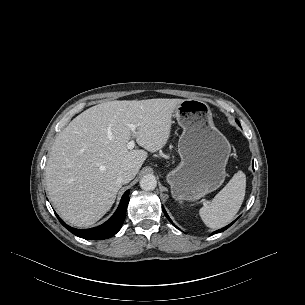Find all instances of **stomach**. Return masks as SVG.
Instances as JSON below:
<instances>
[{
	"mask_svg": "<svg viewBox=\"0 0 305 305\" xmlns=\"http://www.w3.org/2000/svg\"><path fill=\"white\" fill-rule=\"evenodd\" d=\"M174 116L183 129L178 142L181 162L166 180L174 199L196 201L223 184L231 145L215 127L207 103L183 100Z\"/></svg>",
	"mask_w": 305,
	"mask_h": 305,
	"instance_id": "obj_1",
	"label": "stomach"
}]
</instances>
